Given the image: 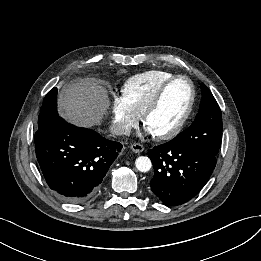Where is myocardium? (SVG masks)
<instances>
[{
	"label": "myocardium",
	"instance_id": "myocardium-1",
	"mask_svg": "<svg viewBox=\"0 0 261 261\" xmlns=\"http://www.w3.org/2000/svg\"><path fill=\"white\" fill-rule=\"evenodd\" d=\"M184 79L186 80L189 85H190V89H191V97H190V101L188 104V107L185 111V113L183 114L181 120L179 121V123L171 130L161 133V134H156L154 135V137L158 140H168L171 139L173 137H175L176 135H178L182 129L184 128V126L186 125L192 111H193V107L195 104V99H196V89H195V85L193 83V81L186 75H175L172 78H170L168 81H166L157 91V93L155 94L154 98L151 100V102L149 103V105L146 107L145 111L142 114V122L143 125L146 126V122L148 120V118L159 108V106L161 105V102L163 100V97L166 93V91L168 90V88L176 81Z\"/></svg>",
	"mask_w": 261,
	"mask_h": 261
}]
</instances>
